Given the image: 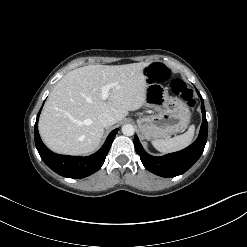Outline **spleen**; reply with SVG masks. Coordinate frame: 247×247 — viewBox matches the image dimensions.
I'll return each mask as SVG.
<instances>
[{
    "mask_svg": "<svg viewBox=\"0 0 247 247\" xmlns=\"http://www.w3.org/2000/svg\"><path fill=\"white\" fill-rule=\"evenodd\" d=\"M195 126L189 127L188 131L182 135L165 140H154L152 145L162 153H171L184 149L191 144L194 136Z\"/></svg>",
    "mask_w": 247,
    "mask_h": 247,
    "instance_id": "1",
    "label": "spleen"
}]
</instances>
